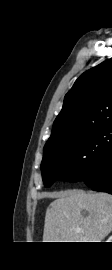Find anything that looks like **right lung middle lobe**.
<instances>
[{"label": "right lung middle lobe", "instance_id": "dd1d6c3e", "mask_svg": "<svg viewBox=\"0 0 112 270\" xmlns=\"http://www.w3.org/2000/svg\"><path fill=\"white\" fill-rule=\"evenodd\" d=\"M111 146L112 124H107L44 149L41 172L45 187H50L56 180L77 182L84 179L96 169Z\"/></svg>", "mask_w": 112, "mask_h": 270}]
</instances>
